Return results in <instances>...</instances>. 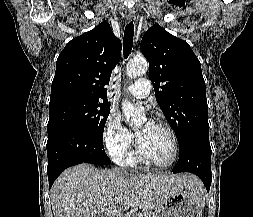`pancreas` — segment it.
Returning <instances> with one entry per match:
<instances>
[{"instance_id":"cf45deb5","label":"pancreas","mask_w":253,"mask_h":217,"mask_svg":"<svg viewBox=\"0 0 253 217\" xmlns=\"http://www.w3.org/2000/svg\"><path fill=\"white\" fill-rule=\"evenodd\" d=\"M137 217H155L153 213H148V214H145V215H139Z\"/></svg>"}]
</instances>
